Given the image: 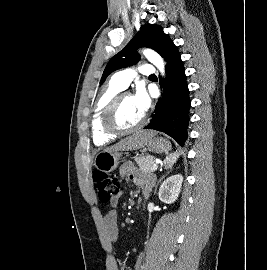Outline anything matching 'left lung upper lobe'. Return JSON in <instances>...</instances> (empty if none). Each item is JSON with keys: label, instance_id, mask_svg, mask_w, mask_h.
<instances>
[{"label": "left lung upper lobe", "instance_id": "obj_1", "mask_svg": "<svg viewBox=\"0 0 267 270\" xmlns=\"http://www.w3.org/2000/svg\"><path fill=\"white\" fill-rule=\"evenodd\" d=\"M173 45V41L163 32L161 26L156 24L141 26L138 35L110 59L104 69L100 83H103L113 71L136 64L140 59V55L136 52L139 47L151 48L165 58Z\"/></svg>", "mask_w": 267, "mask_h": 270}]
</instances>
